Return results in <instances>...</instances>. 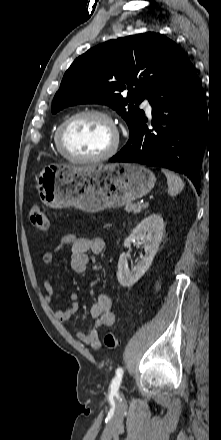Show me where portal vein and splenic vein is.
Masks as SVG:
<instances>
[{
    "label": "portal vein and splenic vein",
    "mask_w": 221,
    "mask_h": 440,
    "mask_svg": "<svg viewBox=\"0 0 221 440\" xmlns=\"http://www.w3.org/2000/svg\"><path fill=\"white\" fill-rule=\"evenodd\" d=\"M143 205H144L145 207H147V206L149 205V203H148V202H145Z\"/></svg>",
    "instance_id": "obj_1"
}]
</instances>
